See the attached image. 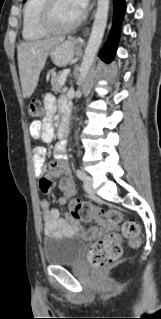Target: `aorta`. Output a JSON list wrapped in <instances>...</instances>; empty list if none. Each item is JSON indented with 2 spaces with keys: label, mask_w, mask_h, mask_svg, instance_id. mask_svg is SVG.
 I'll return each mask as SVG.
<instances>
[{
  "label": "aorta",
  "mask_w": 161,
  "mask_h": 319,
  "mask_svg": "<svg viewBox=\"0 0 161 319\" xmlns=\"http://www.w3.org/2000/svg\"><path fill=\"white\" fill-rule=\"evenodd\" d=\"M110 0H98L96 14L92 26L91 35L85 48L83 60L80 66V75L77 81L78 90L76 95L81 94V86L87 77L89 70L94 62L95 56L101 45L104 31L107 24Z\"/></svg>",
  "instance_id": "aorta-1"
}]
</instances>
